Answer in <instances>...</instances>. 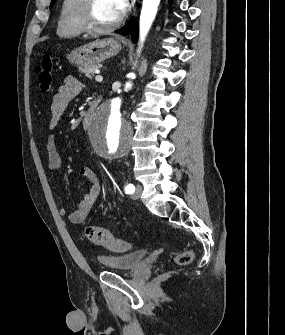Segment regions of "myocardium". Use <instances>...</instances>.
<instances>
[{"label": "myocardium", "instance_id": "myocardium-1", "mask_svg": "<svg viewBox=\"0 0 285 335\" xmlns=\"http://www.w3.org/2000/svg\"><path fill=\"white\" fill-rule=\"evenodd\" d=\"M93 7L94 1H82L80 12V23L84 32L90 35H102L114 31L121 22L119 17L115 23L107 27H98L93 21Z\"/></svg>", "mask_w": 285, "mask_h": 335}]
</instances>
